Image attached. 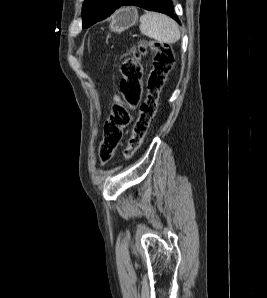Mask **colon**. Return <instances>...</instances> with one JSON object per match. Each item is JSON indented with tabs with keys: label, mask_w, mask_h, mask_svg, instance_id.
I'll use <instances>...</instances> for the list:
<instances>
[{
	"label": "colon",
	"mask_w": 267,
	"mask_h": 298,
	"mask_svg": "<svg viewBox=\"0 0 267 298\" xmlns=\"http://www.w3.org/2000/svg\"><path fill=\"white\" fill-rule=\"evenodd\" d=\"M152 56L153 68L149 74L147 94L140 104V114L133 132L124 150L127 160L140 149L146 137L158 108V100L168 74L174 64L173 51L169 44L163 42L142 41L121 64V90L125 102L137 106L142 97L143 58ZM128 112L123 108L113 110L104 126V132L99 144L101 164H107L115 154L128 124Z\"/></svg>",
	"instance_id": "colon-1"
}]
</instances>
